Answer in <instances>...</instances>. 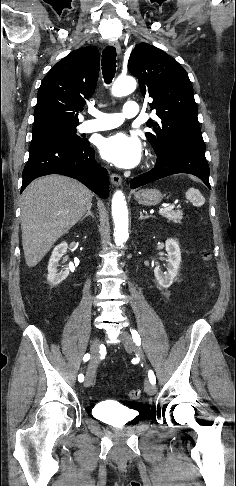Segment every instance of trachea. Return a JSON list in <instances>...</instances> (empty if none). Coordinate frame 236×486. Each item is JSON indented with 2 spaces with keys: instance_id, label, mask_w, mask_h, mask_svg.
I'll use <instances>...</instances> for the list:
<instances>
[{
  "instance_id": "1",
  "label": "trachea",
  "mask_w": 236,
  "mask_h": 486,
  "mask_svg": "<svg viewBox=\"0 0 236 486\" xmlns=\"http://www.w3.org/2000/svg\"><path fill=\"white\" fill-rule=\"evenodd\" d=\"M102 74L106 84H110L116 72V49L107 46L102 52Z\"/></svg>"
}]
</instances>
